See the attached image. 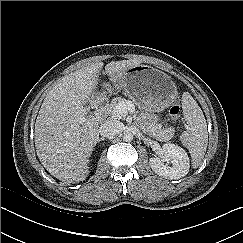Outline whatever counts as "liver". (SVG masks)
Wrapping results in <instances>:
<instances>
[{
    "mask_svg": "<svg viewBox=\"0 0 243 243\" xmlns=\"http://www.w3.org/2000/svg\"><path fill=\"white\" fill-rule=\"evenodd\" d=\"M139 60L91 63L64 76L47 93L34 129L37 156L55 178L67 183L83 181L89 158L99 139V123L85 105L99 82V73L113 81Z\"/></svg>",
    "mask_w": 243,
    "mask_h": 243,
    "instance_id": "obj_1",
    "label": "liver"
}]
</instances>
